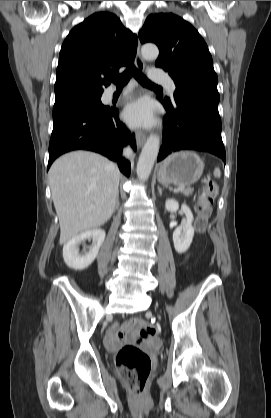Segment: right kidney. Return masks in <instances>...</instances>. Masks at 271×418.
Wrapping results in <instances>:
<instances>
[{"label": "right kidney", "instance_id": "obj_1", "mask_svg": "<svg viewBox=\"0 0 271 418\" xmlns=\"http://www.w3.org/2000/svg\"><path fill=\"white\" fill-rule=\"evenodd\" d=\"M86 239H92V245L88 252L81 255L79 254V244ZM104 239V230L92 229L85 231L69 240L63 247V258L66 265L75 270H83L87 268L97 257Z\"/></svg>", "mask_w": 271, "mask_h": 418}]
</instances>
